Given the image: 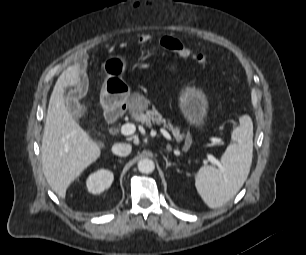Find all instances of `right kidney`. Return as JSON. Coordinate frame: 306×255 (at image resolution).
Returning <instances> with one entry per match:
<instances>
[{"label": "right kidney", "instance_id": "1", "mask_svg": "<svg viewBox=\"0 0 306 255\" xmlns=\"http://www.w3.org/2000/svg\"><path fill=\"white\" fill-rule=\"evenodd\" d=\"M113 178L114 176L111 171L105 169L98 170L88 177L86 181L87 189L93 194H100L111 186Z\"/></svg>", "mask_w": 306, "mask_h": 255}]
</instances>
